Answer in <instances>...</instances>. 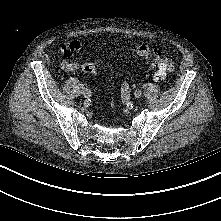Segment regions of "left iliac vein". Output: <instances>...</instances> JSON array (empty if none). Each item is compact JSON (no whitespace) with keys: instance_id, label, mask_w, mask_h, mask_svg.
<instances>
[{"instance_id":"4c4485c4","label":"left iliac vein","mask_w":221,"mask_h":221,"mask_svg":"<svg viewBox=\"0 0 221 221\" xmlns=\"http://www.w3.org/2000/svg\"><path fill=\"white\" fill-rule=\"evenodd\" d=\"M141 95H142V91L139 90V89H138V90H135L134 93H133V96H134L135 98H140Z\"/></svg>"}]
</instances>
